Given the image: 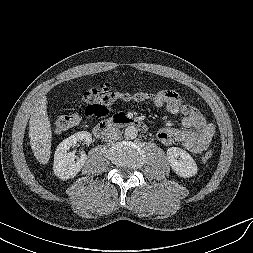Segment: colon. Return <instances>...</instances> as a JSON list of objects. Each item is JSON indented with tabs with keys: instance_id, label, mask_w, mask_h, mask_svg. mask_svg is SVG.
<instances>
[{
	"instance_id": "colon-1",
	"label": "colon",
	"mask_w": 253,
	"mask_h": 253,
	"mask_svg": "<svg viewBox=\"0 0 253 253\" xmlns=\"http://www.w3.org/2000/svg\"><path fill=\"white\" fill-rule=\"evenodd\" d=\"M148 97V94L145 92H139L133 95L124 93L119 99L122 100H140ZM115 98L112 94L108 93L107 91H103L101 89H98L95 93V103L89 106L87 109V115L88 116H103L108 113L109 109L107 105H109V102L112 101ZM80 116L78 114H61L59 115L54 123V129L55 132L60 133L67 130L72 129L79 121ZM213 157L212 151H207L203 157L202 160L204 162L209 161Z\"/></svg>"
}]
</instances>
